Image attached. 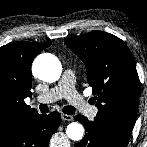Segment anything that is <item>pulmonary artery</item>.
<instances>
[{
  "instance_id": "1",
  "label": "pulmonary artery",
  "mask_w": 147,
  "mask_h": 147,
  "mask_svg": "<svg viewBox=\"0 0 147 147\" xmlns=\"http://www.w3.org/2000/svg\"><path fill=\"white\" fill-rule=\"evenodd\" d=\"M61 98H65L77 110L90 118L95 117L98 112L96 106L88 104L87 100L77 92L75 88V75L70 69L64 71L61 79L53 88L39 95L37 101L51 103Z\"/></svg>"
}]
</instances>
